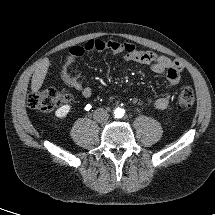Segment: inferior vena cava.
Here are the masks:
<instances>
[{
	"label": "inferior vena cava",
	"mask_w": 215,
	"mask_h": 215,
	"mask_svg": "<svg viewBox=\"0 0 215 215\" xmlns=\"http://www.w3.org/2000/svg\"><path fill=\"white\" fill-rule=\"evenodd\" d=\"M93 118L98 122H105L108 119V114L103 108H97L93 113Z\"/></svg>",
	"instance_id": "inferior-vena-cava-1"
}]
</instances>
